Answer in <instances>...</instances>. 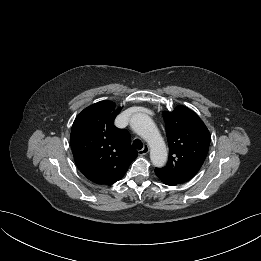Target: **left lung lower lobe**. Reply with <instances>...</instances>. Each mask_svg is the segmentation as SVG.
Listing matches in <instances>:
<instances>
[{"mask_svg":"<svg viewBox=\"0 0 261 261\" xmlns=\"http://www.w3.org/2000/svg\"><path fill=\"white\" fill-rule=\"evenodd\" d=\"M158 178H159L164 184L169 185V186H174V185L178 184V183H175V182H173V181H170V180H168V179H165V178H162V177H159V176H158Z\"/></svg>","mask_w":261,"mask_h":261,"instance_id":"0a47b994","label":"left lung lower lobe"}]
</instances>
